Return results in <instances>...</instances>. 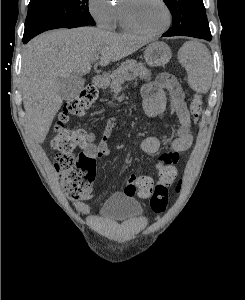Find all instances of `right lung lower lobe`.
<instances>
[{"label":"right lung lower lobe","mask_w":245,"mask_h":300,"mask_svg":"<svg viewBox=\"0 0 245 300\" xmlns=\"http://www.w3.org/2000/svg\"><path fill=\"white\" fill-rule=\"evenodd\" d=\"M30 40V38H23V43H27Z\"/></svg>","instance_id":"1"}]
</instances>
